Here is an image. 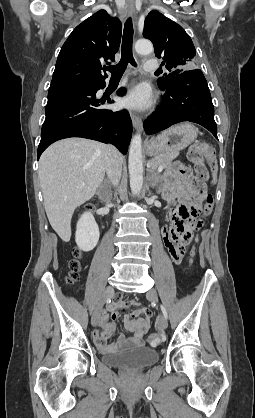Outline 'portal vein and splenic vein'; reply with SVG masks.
I'll return each instance as SVG.
<instances>
[{"instance_id": "18ae733b", "label": "portal vein and splenic vein", "mask_w": 255, "mask_h": 418, "mask_svg": "<svg viewBox=\"0 0 255 418\" xmlns=\"http://www.w3.org/2000/svg\"><path fill=\"white\" fill-rule=\"evenodd\" d=\"M163 170V166H159L157 172H161Z\"/></svg>"}]
</instances>
